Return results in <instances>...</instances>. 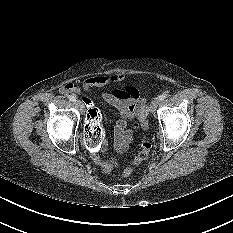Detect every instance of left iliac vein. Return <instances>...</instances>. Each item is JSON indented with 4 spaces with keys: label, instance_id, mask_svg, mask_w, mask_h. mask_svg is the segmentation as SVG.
Wrapping results in <instances>:
<instances>
[{
    "label": "left iliac vein",
    "instance_id": "4c4485c4",
    "mask_svg": "<svg viewBox=\"0 0 233 233\" xmlns=\"http://www.w3.org/2000/svg\"><path fill=\"white\" fill-rule=\"evenodd\" d=\"M159 102H160V100H159L158 97H156V98H154V99L152 100V102H151V104H150V111H151L152 113H154V112L156 111V109H157V107H158V105H159Z\"/></svg>",
    "mask_w": 233,
    "mask_h": 233
}]
</instances>
